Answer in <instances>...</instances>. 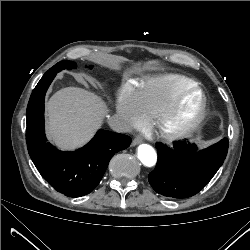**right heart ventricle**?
I'll use <instances>...</instances> for the list:
<instances>
[{"label":"right heart ventricle","mask_w":250,"mask_h":250,"mask_svg":"<svg viewBox=\"0 0 250 250\" xmlns=\"http://www.w3.org/2000/svg\"><path fill=\"white\" fill-rule=\"evenodd\" d=\"M195 84L181 74H162L143 80L134 90L147 117L151 122L171 103L182 89Z\"/></svg>","instance_id":"1"}]
</instances>
